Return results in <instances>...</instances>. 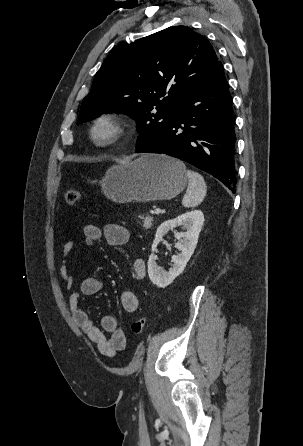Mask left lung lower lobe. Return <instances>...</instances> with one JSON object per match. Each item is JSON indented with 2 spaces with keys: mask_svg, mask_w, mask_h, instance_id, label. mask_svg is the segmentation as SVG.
Returning a JSON list of instances; mask_svg holds the SVG:
<instances>
[{
  "mask_svg": "<svg viewBox=\"0 0 303 446\" xmlns=\"http://www.w3.org/2000/svg\"><path fill=\"white\" fill-rule=\"evenodd\" d=\"M234 118L220 61L182 99L161 134L136 150L179 158L213 175L235 192Z\"/></svg>",
  "mask_w": 303,
  "mask_h": 446,
  "instance_id": "left-lung-lower-lobe-1",
  "label": "left lung lower lobe"
}]
</instances>
